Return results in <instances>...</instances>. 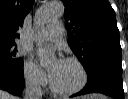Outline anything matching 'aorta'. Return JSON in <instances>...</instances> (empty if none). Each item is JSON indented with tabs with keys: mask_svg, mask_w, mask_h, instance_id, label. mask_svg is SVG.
Returning <instances> with one entry per match:
<instances>
[{
	"mask_svg": "<svg viewBox=\"0 0 128 99\" xmlns=\"http://www.w3.org/2000/svg\"><path fill=\"white\" fill-rule=\"evenodd\" d=\"M64 14V5L59 0L49 2L45 7L41 8L38 12V22L46 23L51 20L58 19ZM37 55L41 63L47 65L55 59V53L43 47H38Z\"/></svg>",
	"mask_w": 128,
	"mask_h": 99,
	"instance_id": "1",
	"label": "aorta"
}]
</instances>
